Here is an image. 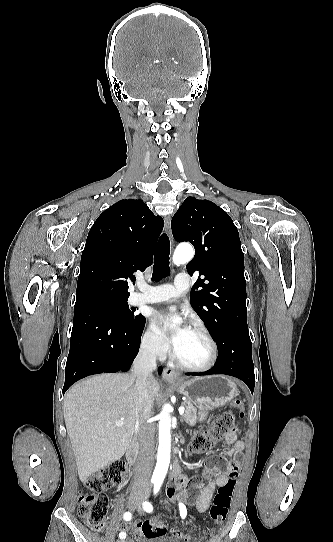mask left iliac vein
Wrapping results in <instances>:
<instances>
[{
    "label": "left iliac vein",
    "mask_w": 333,
    "mask_h": 542,
    "mask_svg": "<svg viewBox=\"0 0 333 542\" xmlns=\"http://www.w3.org/2000/svg\"><path fill=\"white\" fill-rule=\"evenodd\" d=\"M138 511H139L140 513H142V512H143L142 508H138Z\"/></svg>",
    "instance_id": "obj_1"
}]
</instances>
